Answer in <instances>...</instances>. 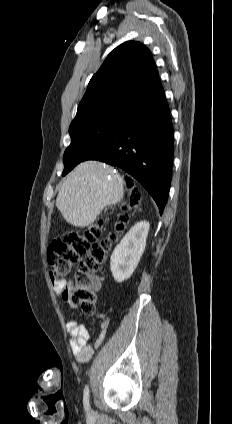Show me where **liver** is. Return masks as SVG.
Returning a JSON list of instances; mask_svg holds the SVG:
<instances>
[{"mask_svg": "<svg viewBox=\"0 0 232 424\" xmlns=\"http://www.w3.org/2000/svg\"><path fill=\"white\" fill-rule=\"evenodd\" d=\"M124 196V182L113 169L99 161L77 165L63 181L56 206L63 218L75 227L92 224L102 210L119 203Z\"/></svg>", "mask_w": 232, "mask_h": 424, "instance_id": "6515ba94", "label": "liver"}]
</instances>
